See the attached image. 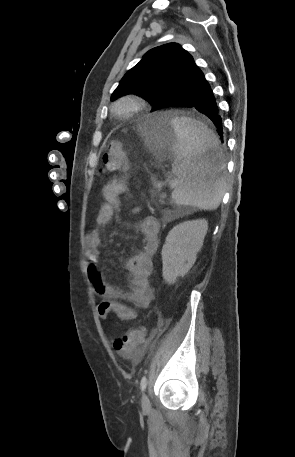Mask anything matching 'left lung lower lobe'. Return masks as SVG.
<instances>
[{
  "label": "left lung lower lobe",
  "instance_id": "left-lung-lower-lobe-1",
  "mask_svg": "<svg viewBox=\"0 0 295 457\" xmlns=\"http://www.w3.org/2000/svg\"><path fill=\"white\" fill-rule=\"evenodd\" d=\"M187 79L189 80L190 85L162 102L159 109L170 106L195 109L206 115L214 123L218 129V134L222 138V118L219 115V109L213 96L212 89L208 81L205 79L203 72L197 65H195L188 74ZM214 158L215 154H213L211 159L208 161L210 163H214Z\"/></svg>",
  "mask_w": 295,
  "mask_h": 457
}]
</instances>
